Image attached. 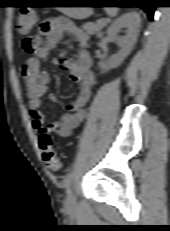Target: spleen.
Instances as JSON below:
<instances>
[{"label": "spleen", "instance_id": "obj_1", "mask_svg": "<svg viewBox=\"0 0 170 231\" xmlns=\"http://www.w3.org/2000/svg\"><path fill=\"white\" fill-rule=\"evenodd\" d=\"M105 11L109 16L114 17L116 16L118 9L114 7L111 8L109 7V8H105Z\"/></svg>", "mask_w": 170, "mask_h": 231}]
</instances>
